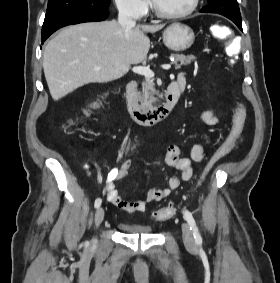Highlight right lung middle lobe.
Here are the masks:
<instances>
[{"mask_svg": "<svg viewBox=\"0 0 280 283\" xmlns=\"http://www.w3.org/2000/svg\"><path fill=\"white\" fill-rule=\"evenodd\" d=\"M109 5L110 0H48L45 18L68 12L103 14Z\"/></svg>", "mask_w": 280, "mask_h": 283, "instance_id": "right-lung-middle-lobe-1", "label": "right lung middle lobe"}]
</instances>
